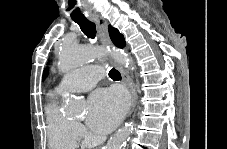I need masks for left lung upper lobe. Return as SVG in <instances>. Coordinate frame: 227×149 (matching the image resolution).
Masks as SVG:
<instances>
[{"label": "left lung upper lobe", "instance_id": "obj_1", "mask_svg": "<svg viewBox=\"0 0 227 149\" xmlns=\"http://www.w3.org/2000/svg\"><path fill=\"white\" fill-rule=\"evenodd\" d=\"M47 75H48V71H47V69H46V70H44V73H43V79H44Z\"/></svg>", "mask_w": 227, "mask_h": 149}]
</instances>
